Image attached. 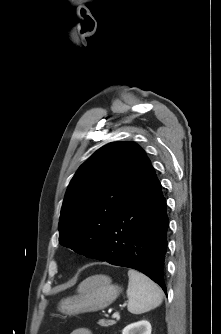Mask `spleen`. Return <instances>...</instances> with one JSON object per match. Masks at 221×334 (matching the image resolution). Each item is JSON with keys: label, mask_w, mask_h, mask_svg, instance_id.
Masks as SVG:
<instances>
[{"label": "spleen", "mask_w": 221, "mask_h": 334, "mask_svg": "<svg viewBox=\"0 0 221 334\" xmlns=\"http://www.w3.org/2000/svg\"><path fill=\"white\" fill-rule=\"evenodd\" d=\"M128 277L127 308L130 313L142 314L162 303L163 292L151 279L133 269L128 270Z\"/></svg>", "instance_id": "3e777b00"}]
</instances>
